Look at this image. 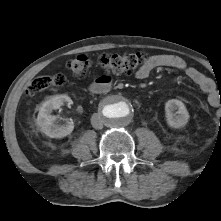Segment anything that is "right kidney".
Masks as SVG:
<instances>
[{"instance_id": "1", "label": "right kidney", "mask_w": 221, "mask_h": 221, "mask_svg": "<svg viewBox=\"0 0 221 221\" xmlns=\"http://www.w3.org/2000/svg\"><path fill=\"white\" fill-rule=\"evenodd\" d=\"M67 103L71 105L73 102L67 95H55L45 101L39 109L36 123L40 127V131L50 138H63L74 129L73 122L67 121L65 124H56V116L51 115L53 110L60 109L62 105Z\"/></svg>"}]
</instances>
